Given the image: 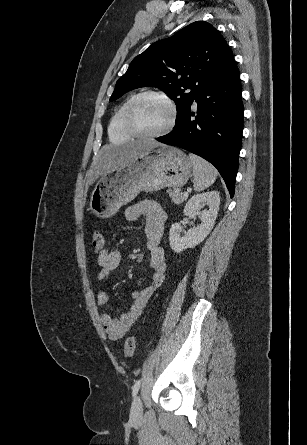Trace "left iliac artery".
Instances as JSON below:
<instances>
[{
  "instance_id": "44dca946",
  "label": "left iliac artery",
  "mask_w": 307,
  "mask_h": 445,
  "mask_svg": "<svg viewBox=\"0 0 307 445\" xmlns=\"http://www.w3.org/2000/svg\"><path fill=\"white\" fill-rule=\"evenodd\" d=\"M140 383H141V380H137L135 382V384L133 385V387H132V395H133V397L136 396V394H137V392H138V390L140 388Z\"/></svg>"
}]
</instances>
